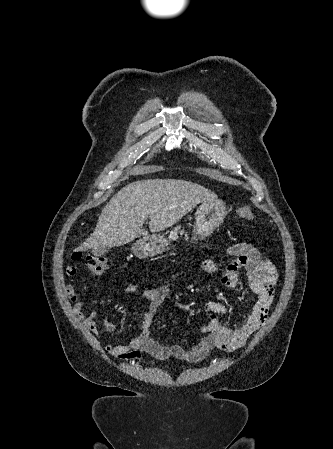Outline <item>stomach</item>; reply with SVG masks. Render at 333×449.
Masks as SVG:
<instances>
[{"label":"stomach","mask_w":333,"mask_h":449,"mask_svg":"<svg viewBox=\"0 0 333 449\" xmlns=\"http://www.w3.org/2000/svg\"><path fill=\"white\" fill-rule=\"evenodd\" d=\"M227 210L225 204L218 199L202 202L197 214L194 233L198 238L209 236L225 219ZM169 241L163 235H152L138 240L132 251L140 258L155 256L168 249Z\"/></svg>","instance_id":"0dacf381"}]
</instances>
